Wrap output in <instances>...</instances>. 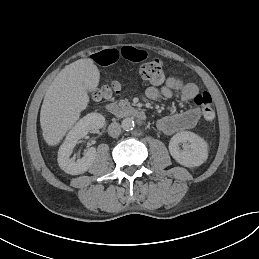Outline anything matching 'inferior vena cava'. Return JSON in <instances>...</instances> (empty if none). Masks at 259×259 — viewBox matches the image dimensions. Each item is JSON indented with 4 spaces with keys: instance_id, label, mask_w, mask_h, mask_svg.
Instances as JSON below:
<instances>
[{
    "instance_id": "1",
    "label": "inferior vena cava",
    "mask_w": 259,
    "mask_h": 259,
    "mask_svg": "<svg viewBox=\"0 0 259 259\" xmlns=\"http://www.w3.org/2000/svg\"><path fill=\"white\" fill-rule=\"evenodd\" d=\"M121 133V126L120 124L114 122V123H111L108 127V134L111 136V137H118Z\"/></svg>"
}]
</instances>
